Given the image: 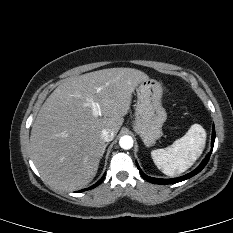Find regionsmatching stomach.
<instances>
[{
	"mask_svg": "<svg viewBox=\"0 0 233 233\" xmlns=\"http://www.w3.org/2000/svg\"><path fill=\"white\" fill-rule=\"evenodd\" d=\"M136 93L133 129L149 147L162 136V126L167 119V113L161 103L163 88L158 81L147 79L139 83Z\"/></svg>",
	"mask_w": 233,
	"mask_h": 233,
	"instance_id": "0dacf381",
	"label": "stomach"
}]
</instances>
